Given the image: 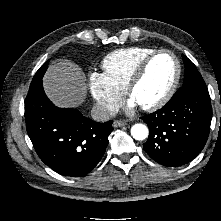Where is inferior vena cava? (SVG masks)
Here are the masks:
<instances>
[{"mask_svg": "<svg viewBox=\"0 0 221 221\" xmlns=\"http://www.w3.org/2000/svg\"><path fill=\"white\" fill-rule=\"evenodd\" d=\"M92 118L98 122H106L116 115V111L103 104H95L91 111Z\"/></svg>", "mask_w": 221, "mask_h": 221, "instance_id": "1", "label": "inferior vena cava"}]
</instances>
